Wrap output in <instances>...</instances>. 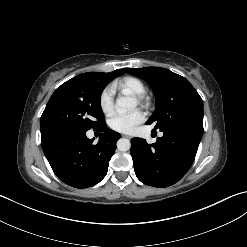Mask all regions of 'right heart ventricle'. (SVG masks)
Segmentation results:
<instances>
[{
    "label": "right heart ventricle",
    "instance_id": "e07e8e85",
    "mask_svg": "<svg viewBox=\"0 0 247 247\" xmlns=\"http://www.w3.org/2000/svg\"><path fill=\"white\" fill-rule=\"evenodd\" d=\"M117 86L121 91L130 93L136 97H142L146 91L144 83L139 78L133 76L123 78Z\"/></svg>",
    "mask_w": 247,
    "mask_h": 247
}]
</instances>
